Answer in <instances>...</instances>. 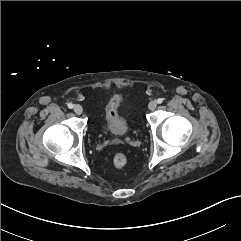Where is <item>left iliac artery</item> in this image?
I'll return each mask as SVG.
<instances>
[{
	"label": "left iliac artery",
	"mask_w": 241,
	"mask_h": 241,
	"mask_svg": "<svg viewBox=\"0 0 241 241\" xmlns=\"http://www.w3.org/2000/svg\"><path fill=\"white\" fill-rule=\"evenodd\" d=\"M162 102H163V99H162V98H158V99H157V103H158V104H161Z\"/></svg>",
	"instance_id": "obj_1"
}]
</instances>
